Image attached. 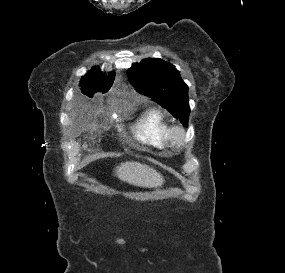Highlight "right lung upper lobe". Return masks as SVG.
<instances>
[{
	"mask_svg": "<svg viewBox=\"0 0 285 273\" xmlns=\"http://www.w3.org/2000/svg\"><path fill=\"white\" fill-rule=\"evenodd\" d=\"M114 78V72L109 73V76L107 77L97 67H95L81 79V91L88 97H92L96 92L99 91L105 93L112 86Z\"/></svg>",
	"mask_w": 285,
	"mask_h": 273,
	"instance_id": "1",
	"label": "right lung upper lobe"
}]
</instances>
